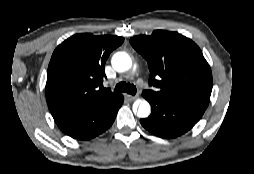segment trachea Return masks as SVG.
<instances>
[{
  "mask_svg": "<svg viewBox=\"0 0 254 174\" xmlns=\"http://www.w3.org/2000/svg\"><path fill=\"white\" fill-rule=\"evenodd\" d=\"M114 91L115 92H126L128 94L135 95L137 89L133 84L126 83V82H120L115 86Z\"/></svg>",
  "mask_w": 254,
  "mask_h": 174,
  "instance_id": "trachea-1",
  "label": "trachea"
}]
</instances>
